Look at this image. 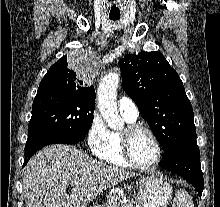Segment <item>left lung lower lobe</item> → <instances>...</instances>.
Listing matches in <instances>:
<instances>
[{
  "instance_id": "1",
  "label": "left lung lower lobe",
  "mask_w": 220,
  "mask_h": 207,
  "mask_svg": "<svg viewBox=\"0 0 220 207\" xmlns=\"http://www.w3.org/2000/svg\"><path fill=\"white\" fill-rule=\"evenodd\" d=\"M161 166L185 178L198 191H203V173L200 167V152L196 137L183 141L165 151Z\"/></svg>"
}]
</instances>
